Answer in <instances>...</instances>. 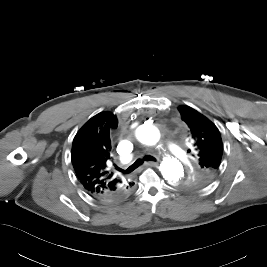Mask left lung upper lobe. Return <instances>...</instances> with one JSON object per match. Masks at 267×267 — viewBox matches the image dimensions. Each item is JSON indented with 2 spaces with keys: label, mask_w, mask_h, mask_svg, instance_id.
<instances>
[{
  "label": "left lung upper lobe",
  "mask_w": 267,
  "mask_h": 267,
  "mask_svg": "<svg viewBox=\"0 0 267 267\" xmlns=\"http://www.w3.org/2000/svg\"><path fill=\"white\" fill-rule=\"evenodd\" d=\"M178 110L188 127L197 154L196 165L180 186L186 190L203 188L212 182L219 171L223 153L221 135L215 124L195 109L183 105Z\"/></svg>",
  "instance_id": "1"
}]
</instances>
